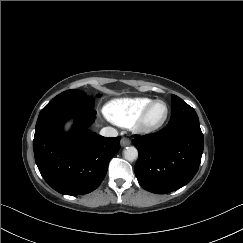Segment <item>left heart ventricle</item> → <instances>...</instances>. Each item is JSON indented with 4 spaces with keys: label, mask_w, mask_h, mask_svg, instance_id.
I'll list each match as a JSON object with an SVG mask.
<instances>
[{
    "label": "left heart ventricle",
    "mask_w": 243,
    "mask_h": 243,
    "mask_svg": "<svg viewBox=\"0 0 243 243\" xmlns=\"http://www.w3.org/2000/svg\"><path fill=\"white\" fill-rule=\"evenodd\" d=\"M166 109L164 104L158 103L156 104L152 110L150 111L148 117H147V122L149 124H156L160 122L164 115H165Z\"/></svg>",
    "instance_id": "b2bd125f"
}]
</instances>
